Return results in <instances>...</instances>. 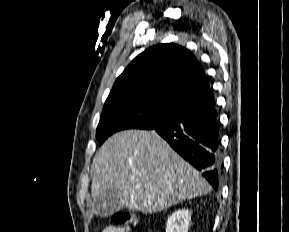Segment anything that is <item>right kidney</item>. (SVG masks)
<instances>
[{"label":"right kidney","instance_id":"1","mask_svg":"<svg viewBox=\"0 0 289 232\" xmlns=\"http://www.w3.org/2000/svg\"><path fill=\"white\" fill-rule=\"evenodd\" d=\"M190 221L191 212L188 209H179L168 218L166 232H188Z\"/></svg>","mask_w":289,"mask_h":232}]
</instances>
